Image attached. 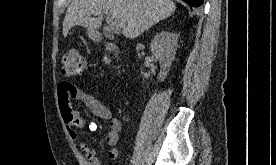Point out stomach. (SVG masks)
Returning a JSON list of instances; mask_svg holds the SVG:
<instances>
[{
	"label": "stomach",
	"mask_w": 276,
	"mask_h": 165,
	"mask_svg": "<svg viewBox=\"0 0 276 165\" xmlns=\"http://www.w3.org/2000/svg\"><path fill=\"white\" fill-rule=\"evenodd\" d=\"M87 34L90 38H95L97 36L96 32L94 30H87Z\"/></svg>",
	"instance_id": "0dacf381"
}]
</instances>
